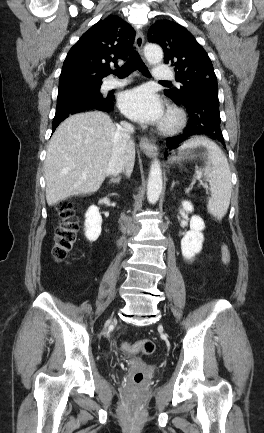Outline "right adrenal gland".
I'll use <instances>...</instances> for the list:
<instances>
[{
  "label": "right adrenal gland",
  "instance_id": "right-adrenal-gland-1",
  "mask_svg": "<svg viewBox=\"0 0 264 433\" xmlns=\"http://www.w3.org/2000/svg\"><path fill=\"white\" fill-rule=\"evenodd\" d=\"M120 181H121V177L118 176L117 178L111 179V181L109 182V184H119Z\"/></svg>",
  "mask_w": 264,
  "mask_h": 433
}]
</instances>
